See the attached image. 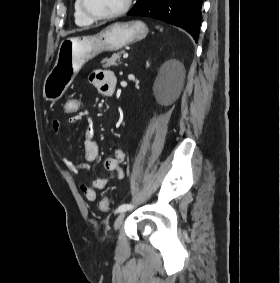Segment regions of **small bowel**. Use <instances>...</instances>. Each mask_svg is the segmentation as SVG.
<instances>
[{"label": "small bowel", "instance_id": "c3829d8e", "mask_svg": "<svg viewBox=\"0 0 280 283\" xmlns=\"http://www.w3.org/2000/svg\"><path fill=\"white\" fill-rule=\"evenodd\" d=\"M92 83L98 88L102 94L108 95L110 90L114 88L115 78L110 70H98L91 76ZM64 107V106H63ZM81 107V104H80ZM89 118V111L82 109L81 112H72L69 119L70 122H83ZM51 127L55 132H59L62 128V121L54 119L51 122ZM84 147V162H75L69 158H63L62 162L65 167L72 173L78 174L80 171H88L90 162H93L98 157V145L93 139V133L90 126H87L83 132L82 139ZM125 161L124 152L117 148L113 155L108 156L104 160V168L109 172L106 177L97 178L91 185L82 183L80 189L89 201H94L97 196V191L104 189L112 181H120L124 178L122 163Z\"/></svg>", "mask_w": 280, "mask_h": 283}]
</instances>
